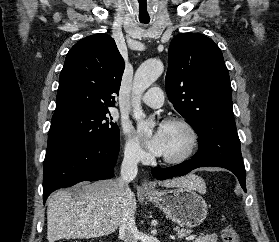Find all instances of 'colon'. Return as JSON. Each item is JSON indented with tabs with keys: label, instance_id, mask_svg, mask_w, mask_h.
Instances as JSON below:
<instances>
[{
	"label": "colon",
	"instance_id": "1",
	"mask_svg": "<svg viewBox=\"0 0 279 242\" xmlns=\"http://www.w3.org/2000/svg\"><path fill=\"white\" fill-rule=\"evenodd\" d=\"M221 237L223 242H241L240 237L236 230L232 226H225L221 230ZM60 242H68V241H60Z\"/></svg>",
	"mask_w": 279,
	"mask_h": 242
}]
</instances>
